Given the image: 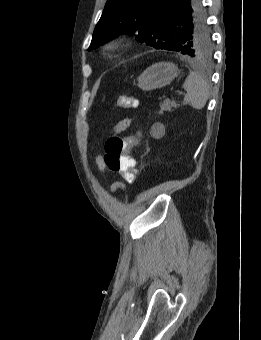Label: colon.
<instances>
[{"label":"colon","mask_w":261,"mask_h":340,"mask_svg":"<svg viewBox=\"0 0 261 340\" xmlns=\"http://www.w3.org/2000/svg\"><path fill=\"white\" fill-rule=\"evenodd\" d=\"M137 105L133 96H120L117 100L119 108H132ZM137 143V136H113L105 143L104 163L110 171L120 174L123 180L133 184L139 175L135 161L128 155L129 150Z\"/></svg>","instance_id":"5ec220e1"}]
</instances>
